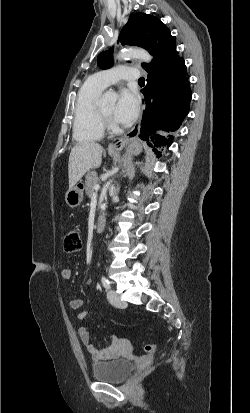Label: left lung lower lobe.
Masks as SVG:
<instances>
[{
  "mask_svg": "<svg viewBox=\"0 0 250 413\" xmlns=\"http://www.w3.org/2000/svg\"><path fill=\"white\" fill-rule=\"evenodd\" d=\"M146 71L147 85L141 90L146 107L139 137L154 146L159 155V147H169L173 142V136L164 132L178 130L188 114L192 92L185 61L172 43L154 50Z\"/></svg>",
  "mask_w": 250,
  "mask_h": 413,
  "instance_id": "obj_1",
  "label": "left lung lower lobe"
}]
</instances>
